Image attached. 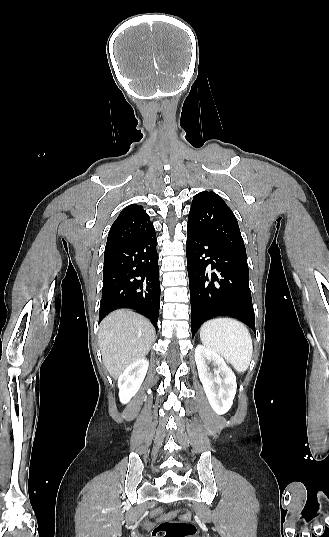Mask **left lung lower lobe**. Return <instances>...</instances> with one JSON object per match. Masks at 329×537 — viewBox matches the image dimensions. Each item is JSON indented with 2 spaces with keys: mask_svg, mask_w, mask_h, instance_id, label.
<instances>
[{
  "mask_svg": "<svg viewBox=\"0 0 329 537\" xmlns=\"http://www.w3.org/2000/svg\"><path fill=\"white\" fill-rule=\"evenodd\" d=\"M186 254L192 336L205 321L223 315L255 331L247 257L211 242L189 225Z\"/></svg>",
  "mask_w": 329,
  "mask_h": 537,
  "instance_id": "0a47b994",
  "label": "left lung lower lobe"
}]
</instances>
